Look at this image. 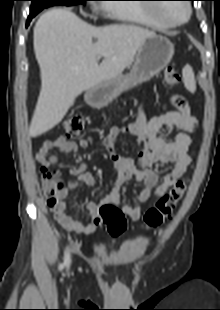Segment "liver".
Segmentation results:
<instances>
[{
    "mask_svg": "<svg viewBox=\"0 0 220 310\" xmlns=\"http://www.w3.org/2000/svg\"><path fill=\"white\" fill-rule=\"evenodd\" d=\"M155 35L134 25L95 27L62 8L42 14L33 34L41 89L30 136H40L60 123L83 91L122 75L145 39ZM101 54L104 59L98 64Z\"/></svg>",
    "mask_w": 220,
    "mask_h": 310,
    "instance_id": "obj_1",
    "label": "liver"
}]
</instances>
